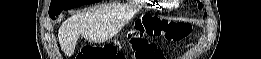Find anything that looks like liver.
I'll return each mask as SVG.
<instances>
[{"instance_id":"liver-1","label":"liver","mask_w":261,"mask_h":59,"mask_svg":"<svg viewBox=\"0 0 261 59\" xmlns=\"http://www.w3.org/2000/svg\"><path fill=\"white\" fill-rule=\"evenodd\" d=\"M126 22L123 13L106 5L79 12L66 19L59 28L61 49L70 57L74 54L80 35L94 42H105L115 36Z\"/></svg>"}]
</instances>
